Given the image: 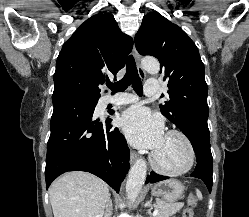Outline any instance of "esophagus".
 Returning <instances> with one entry per match:
<instances>
[{
  "label": "esophagus",
  "instance_id": "1",
  "mask_svg": "<svg viewBox=\"0 0 249 217\" xmlns=\"http://www.w3.org/2000/svg\"><path fill=\"white\" fill-rule=\"evenodd\" d=\"M133 56L136 60L139 75L141 76V78L145 79L146 73H145L144 69L142 68V66L140 65V56H139V53H138L135 45L133 46ZM136 159H137V154L134 151H131L130 162L133 163Z\"/></svg>",
  "mask_w": 249,
  "mask_h": 217
}]
</instances>
